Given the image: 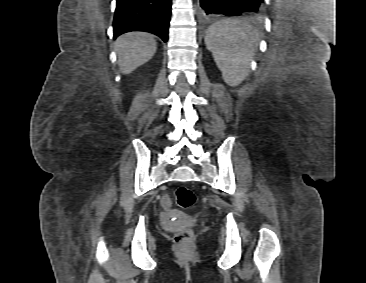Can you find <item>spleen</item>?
Returning <instances> with one entry per match:
<instances>
[{
	"label": "spleen",
	"instance_id": "3e777b00",
	"mask_svg": "<svg viewBox=\"0 0 366 283\" xmlns=\"http://www.w3.org/2000/svg\"><path fill=\"white\" fill-rule=\"evenodd\" d=\"M255 40L256 31L246 21L222 20L206 31V47L228 85H239L249 74Z\"/></svg>",
	"mask_w": 366,
	"mask_h": 283
}]
</instances>
